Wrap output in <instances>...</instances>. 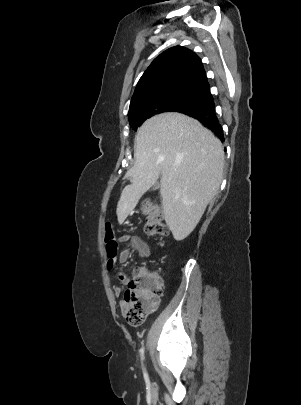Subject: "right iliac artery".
Returning <instances> with one entry per match:
<instances>
[{
	"mask_svg": "<svg viewBox=\"0 0 301 405\" xmlns=\"http://www.w3.org/2000/svg\"><path fill=\"white\" fill-rule=\"evenodd\" d=\"M141 359H144V347L140 349Z\"/></svg>",
	"mask_w": 301,
	"mask_h": 405,
	"instance_id": "right-iliac-artery-1",
	"label": "right iliac artery"
}]
</instances>
